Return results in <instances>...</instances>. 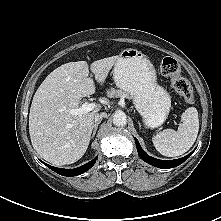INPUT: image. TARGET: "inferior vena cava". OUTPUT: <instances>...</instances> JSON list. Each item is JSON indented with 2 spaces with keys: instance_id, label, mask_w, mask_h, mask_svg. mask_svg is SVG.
<instances>
[{
  "instance_id": "inferior-vena-cava-1",
  "label": "inferior vena cava",
  "mask_w": 221,
  "mask_h": 221,
  "mask_svg": "<svg viewBox=\"0 0 221 221\" xmlns=\"http://www.w3.org/2000/svg\"><path fill=\"white\" fill-rule=\"evenodd\" d=\"M107 117V114L106 113H100V114H96L95 117H94V121L95 122H101V120L103 118Z\"/></svg>"
}]
</instances>
